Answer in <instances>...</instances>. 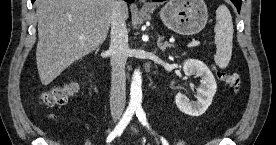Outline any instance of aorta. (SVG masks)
<instances>
[{
    "instance_id": "obj_1",
    "label": "aorta",
    "mask_w": 276,
    "mask_h": 145,
    "mask_svg": "<svg viewBox=\"0 0 276 145\" xmlns=\"http://www.w3.org/2000/svg\"><path fill=\"white\" fill-rule=\"evenodd\" d=\"M142 76L140 70H135L132 76L131 88H130V102L132 107H138L142 102Z\"/></svg>"
}]
</instances>
